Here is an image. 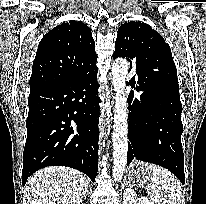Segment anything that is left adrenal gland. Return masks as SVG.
Instances as JSON below:
<instances>
[{"instance_id":"a2214340","label":"left adrenal gland","mask_w":206,"mask_h":204,"mask_svg":"<svg viewBox=\"0 0 206 204\" xmlns=\"http://www.w3.org/2000/svg\"><path fill=\"white\" fill-rule=\"evenodd\" d=\"M127 185H130V181H129V182H127Z\"/></svg>"}]
</instances>
